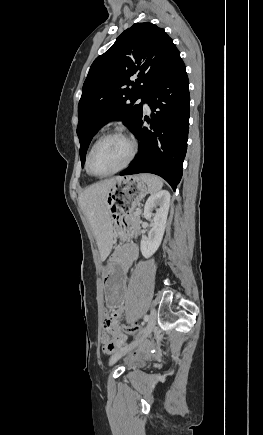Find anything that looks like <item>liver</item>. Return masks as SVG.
<instances>
[{
    "label": "liver",
    "instance_id": "liver-1",
    "mask_svg": "<svg viewBox=\"0 0 263 435\" xmlns=\"http://www.w3.org/2000/svg\"><path fill=\"white\" fill-rule=\"evenodd\" d=\"M119 178L100 181L87 187L79 196V204L86 215L96 238L101 260L105 261L113 244V225L108 214L106 195Z\"/></svg>",
    "mask_w": 263,
    "mask_h": 435
}]
</instances>
